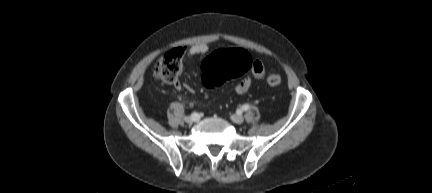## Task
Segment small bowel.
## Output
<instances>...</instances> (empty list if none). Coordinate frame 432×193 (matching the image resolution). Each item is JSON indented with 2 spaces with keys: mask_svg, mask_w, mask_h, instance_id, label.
Wrapping results in <instances>:
<instances>
[{
  "mask_svg": "<svg viewBox=\"0 0 432 193\" xmlns=\"http://www.w3.org/2000/svg\"><path fill=\"white\" fill-rule=\"evenodd\" d=\"M208 50L209 47L205 43L195 44L187 50L186 55L188 57L200 56L207 53ZM264 74H265V68L263 63L259 60H253L251 70L247 73V75L243 79H241L235 85L234 87L235 92L238 94L246 93L251 86L252 78L261 79L264 76ZM175 87L179 89L181 87V84L176 82Z\"/></svg>",
  "mask_w": 432,
  "mask_h": 193,
  "instance_id": "obj_1",
  "label": "small bowel"
}]
</instances>
